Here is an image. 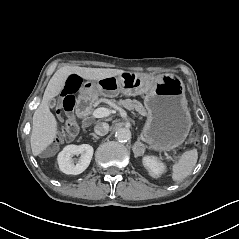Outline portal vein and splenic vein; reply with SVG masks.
Returning <instances> with one entry per match:
<instances>
[{"instance_id": "obj_1", "label": "portal vein and splenic vein", "mask_w": 239, "mask_h": 239, "mask_svg": "<svg viewBox=\"0 0 239 239\" xmlns=\"http://www.w3.org/2000/svg\"><path fill=\"white\" fill-rule=\"evenodd\" d=\"M108 114H109V111L106 108H97L91 113V116L93 118H102V117H106ZM164 156L167 160H171L173 163L175 162L173 158L170 155H168L167 152H164Z\"/></svg>"}]
</instances>
